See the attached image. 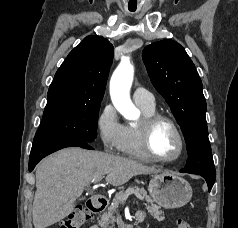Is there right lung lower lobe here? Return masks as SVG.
I'll use <instances>...</instances> for the list:
<instances>
[{"mask_svg": "<svg viewBox=\"0 0 238 228\" xmlns=\"http://www.w3.org/2000/svg\"><path fill=\"white\" fill-rule=\"evenodd\" d=\"M88 143L89 142L77 139L33 142L29 158V171L31 172L42 158L62 148L76 146L85 149H93Z\"/></svg>", "mask_w": 238, "mask_h": 228, "instance_id": "1", "label": "right lung lower lobe"}]
</instances>
